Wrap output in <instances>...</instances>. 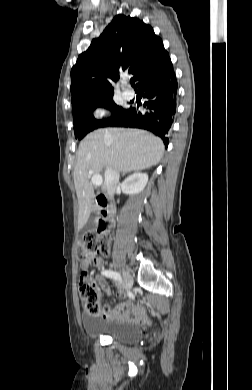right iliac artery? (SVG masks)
I'll return each mask as SVG.
<instances>
[{
    "label": "right iliac artery",
    "mask_w": 252,
    "mask_h": 390,
    "mask_svg": "<svg viewBox=\"0 0 252 390\" xmlns=\"http://www.w3.org/2000/svg\"><path fill=\"white\" fill-rule=\"evenodd\" d=\"M102 275H104L108 278H111L113 280H118V278L121 277L119 273H117L113 270H103ZM126 292H128L129 298L132 299V303L136 304L137 300L135 299L134 292L130 291V289H126Z\"/></svg>",
    "instance_id": "obj_1"
}]
</instances>
